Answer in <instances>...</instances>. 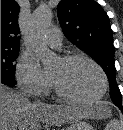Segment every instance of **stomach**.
<instances>
[{"instance_id":"1","label":"stomach","mask_w":123,"mask_h":130,"mask_svg":"<svg viewBox=\"0 0 123 130\" xmlns=\"http://www.w3.org/2000/svg\"><path fill=\"white\" fill-rule=\"evenodd\" d=\"M67 130H94L87 122L77 120L71 123Z\"/></svg>"}]
</instances>
